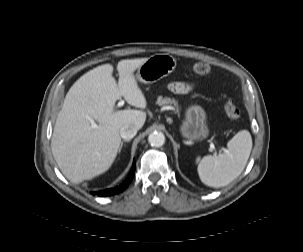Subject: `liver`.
<instances>
[{
	"label": "liver",
	"instance_id": "6515ba94",
	"mask_svg": "<svg viewBox=\"0 0 303 252\" xmlns=\"http://www.w3.org/2000/svg\"><path fill=\"white\" fill-rule=\"evenodd\" d=\"M148 58L125 59L113 66L104 64L82 75L69 89L58 113L51 149L63 175L73 183L90 180L113 164L121 144L120 129H141L146 121L142 110H114L124 97L128 104L145 109L147 102L134 72ZM91 120L99 123L92 128Z\"/></svg>",
	"mask_w": 303,
	"mask_h": 252
}]
</instances>
